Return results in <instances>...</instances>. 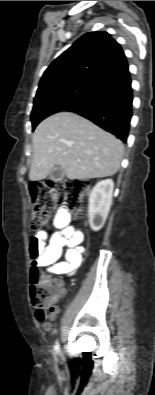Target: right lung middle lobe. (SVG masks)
I'll use <instances>...</instances> for the list:
<instances>
[{
	"label": "right lung middle lobe",
	"instance_id": "right-lung-middle-lobe-1",
	"mask_svg": "<svg viewBox=\"0 0 155 395\" xmlns=\"http://www.w3.org/2000/svg\"><path fill=\"white\" fill-rule=\"evenodd\" d=\"M101 83L75 80L56 84L37 91L31 112L33 129L49 115L66 110L94 92Z\"/></svg>",
	"mask_w": 155,
	"mask_h": 395
}]
</instances>
